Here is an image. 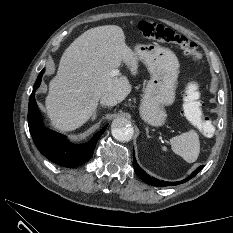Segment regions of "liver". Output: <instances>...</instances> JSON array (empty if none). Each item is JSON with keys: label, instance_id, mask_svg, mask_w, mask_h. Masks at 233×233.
I'll return each mask as SVG.
<instances>
[{"label": "liver", "instance_id": "6515ba94", "mask_svg": "<svg viewBox=\"0 0 233 233\" xmlns=\"http://www.w3.org/2000/svg\"><path fill=\"white\" fill-rule=\"evenodd\" d=\"M122 62L137 75L138 58L125 43L121 27L99 26L76 38L49 84L46 109L51 124L60 131H72L90 119L103 95L112 94L117 103L122 102L131 85L125 76L109 75Z\"/></svg>", "mask_w": 233, "mask_h": 233}]
</instances>
